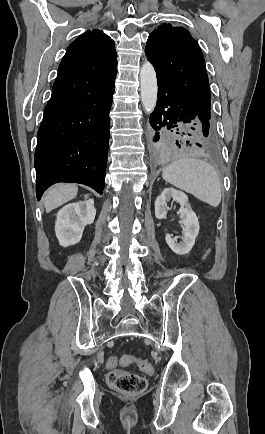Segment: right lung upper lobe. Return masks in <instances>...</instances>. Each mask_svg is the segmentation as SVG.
<instances>
[{
  "label": "right lung upper lobe",
  "mask_w": 265,
  "mask_h": 434,
  "mask_svg": "<svg viewBox=\"0 0 265 434\" xmlns=\"http://www.w3.org/2000/svg\"><path fill=\"white\" fill-rule=\"evenodd\" d=\"M67 50L114 52L115 46L108 35L101 30L94 29L81 34L69 45Z\"/></svg>",
  "instance_id": "obj_1"
}]
</instances>
